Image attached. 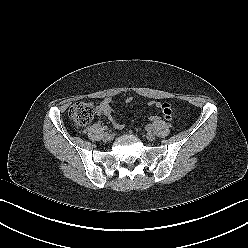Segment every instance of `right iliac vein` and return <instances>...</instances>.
Instances as JSON below:
<instances>
[{
  "label": "right iliac vein",
  "instance_id": "1",
  "mask_svg": "<svg viewBox=\"0 0 248 248\" xmlns=\"http://www.w3.org/2000/svg\"><path fill=\"white\" fill-rule=\"evenodd\" d=\"M103 140L105 142H110L112 140V135L110 133H108V132L104 133Z\"/></svg>",
  "mask_w": 248,
  "mask_h": 248
}]
</instances>
